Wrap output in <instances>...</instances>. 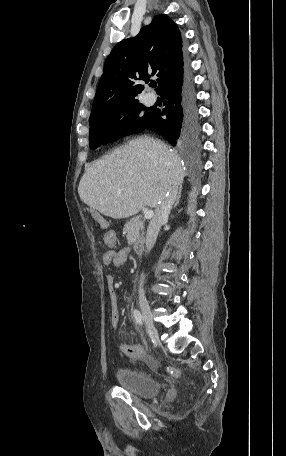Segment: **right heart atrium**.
Returning <instances> with one entry per match:
<instances>
[{"label":"right heart atrium","instance_id":"1","mask_svg":"<svg viewBox=\"0 0 286 456\" xmlns=\"http://www.w3.org/2000/svg\"><path fill=\"white\" fill-rule=\"evenodd\" d=\"M127 132L129 136H132L137 132V130L135 127H130Z\"/></svg>","mask_w":286,"mask_h":456}]
</instances>
